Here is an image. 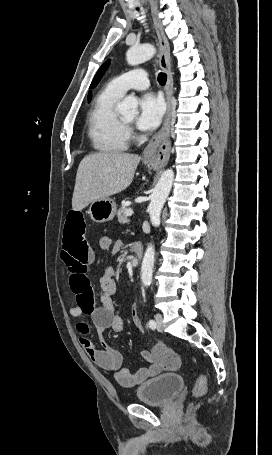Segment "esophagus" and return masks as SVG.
I'll use <instances>...</instances> for the list:
<instances>
[{"label":"esophagus","mask_w":272,"mask_h":455,"mask_svg":"<svg viewBox=\"0 0 272 455\" xmlns=\"http://www.w3.org/2000/svg\"><path fill=\"white\" fill-rule=\"evenodd\" d=\"M153 22L158 37V44L160 48L159 63L160 67L167 74V83L165 87L167 112L164 124L160 131L155 134L150 140L149 144L143 152V159L152 163L158 168L164 167L170 157L171 143L170 135V119L172 108V95H173V77L170 64V47L163 28L156 16H153Z\"/></svg>","instance_id":"34e87169"}]
</instances>
